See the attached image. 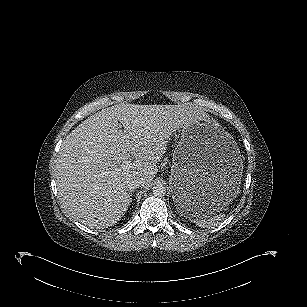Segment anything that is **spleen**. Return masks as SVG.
<instances>
[{
  "instance_id": "spleen-1",
  "label": "spleen",
  "mask_w": 307,
  "mask_h": 307,
  "mask_svg": "<svg viewBox=\"0 0 307 307\" xmlns=\"http://www.w3.org/2000/svg\"><path fill=\"white\" fill-rule=\"evenodd\" d=\"M226 206H224L222 209L226 210L227 209ZM217 212L218 213H208V212H203V210H200L198 211V213L194 215L192 219L199 227L210 228L215 225H218V223H220V221H222L225 217L224 213H220L219 211Z\"/></svg>"
}]
</instances>
